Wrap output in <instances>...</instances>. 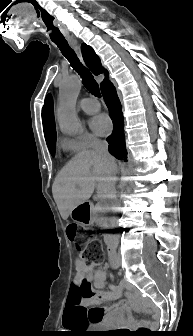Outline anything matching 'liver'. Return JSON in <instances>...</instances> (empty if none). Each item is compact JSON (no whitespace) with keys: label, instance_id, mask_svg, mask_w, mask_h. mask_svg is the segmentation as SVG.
<instances>
[{"label":"liver","instance_id":"6515ba94","mask_svg":"<svg viewBox=\"0 0 193 336\" xmlns=\"http://www.w3.org/2000/svg\"><path fill=\"white\" fill-rule=\"evenodd\" d=\"M112 169L117 170L115 159L111 157L107 161L94 150H84L72 158L58 173L52 186L62 219L67 220L71 211L86 202L95 188L100 196H107Z\"/></svg>","mask_w":193,"mask_h":336}]
</instances>
